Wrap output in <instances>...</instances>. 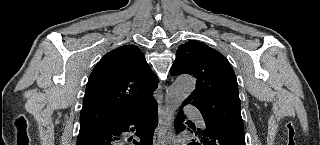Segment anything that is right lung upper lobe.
Here are the masks:
<instances>
[{
  "mask_svg": "<svg viewBox=\"0 0 320 145\" xmlns=\"http://www.w3.org/2000/svg\"><path fill=\"white\" fill-rule=\"evenodd\" d=\"M157 85L158 79L138 47L125 45L108 52L89 77L80 128L140 114L156 102L152 95Z\"/></svg>",
  "mask_w": 320,
  "mask_h": 145,
  "instance_id": "obj_1",
  "label": "right lung upper lobe"
}]
</instances>
